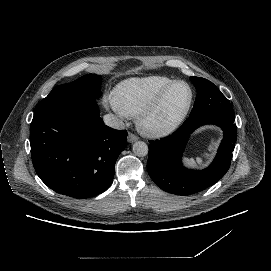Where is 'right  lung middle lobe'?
I'll use <instances>...</instances> for the list:
<instances>
[{
  "instance_id": "right-lung-middle-lobe-1",
  "label": "right lung middle lobe",
  "mask_w": 271,
  "mask_h": 271,
  "mask_svg": "<svg viewBox=\"0 0 271 271\" xmlns=\"http://www.w3.org/2000/svg\"><path fill=\"white\" fill-rule=\"evenodd\" d=\"M101 77L87 74L77 80L55 87L49 95L39 102L35 112L62 105L90 104L97 106L96 98L100 96Z\"/></svg>"
}]
</instances>
